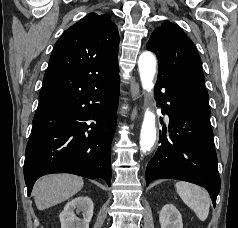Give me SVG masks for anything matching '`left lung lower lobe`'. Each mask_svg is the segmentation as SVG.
<instances>
[{"mask_svg":"<svg viewBox=\"0 0 238 228\" xmlns=\"http://www.w3.org/2000/svg\"><path fill=\"white\" fill-rule=\"evenodd\" d=\"M155 99L168 102L161 107L170 119L169 135L166 129L159 134L161 145L147 166L146 185L155 179L192 182L208 190L215 207L221 181L208 103L169 79L156 82Z\"/></svg>","mask_w":238,"mask_h":228,"instance_id":"0a47b994","label":"left lung lower lobe"}]
</instances>
